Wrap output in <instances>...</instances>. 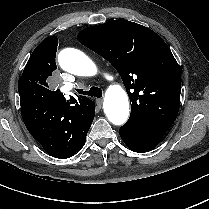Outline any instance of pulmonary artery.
<instances>
[{
	"label": "pulmonary artery",
	"instance_id": "pulmonary-artery-1",
	"mask_svg": "<svg viewBox=\"0 0 209 209\" xmlns=\"http://www.w3.org/2000/svg\"><path fill=\"white\" fill-rule=\"evenodd\" d=\"M106 81L107 82H110V83H115V80H112L109 77H106ZM76 86H77V84L76 85H73V87H76Z\"/></svg>",
	"mask_w": 209,
	"mask_h": 209
}]
</instances>
